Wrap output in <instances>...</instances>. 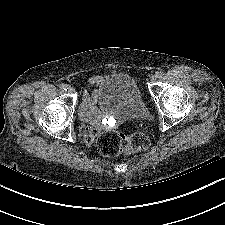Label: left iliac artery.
Returning <instances> with one entry per match:
<instances>
[{
	"instance_id": "44dca946",
	"label": "left iliac artery",
	"mask_w": 225,
	"mask_h": 225,
	"mask_svg": "<svg viewBox=\"0 0 225 225\" xmlns=\"http://www.w3.org/2000/svg\"><path fill=\"white\" fill-rule=\"evenodd\" d=\"M162 76H163V72H161V71H157L155 73V77H157V78H161Z\"/></svg>"
}]
</instances>
